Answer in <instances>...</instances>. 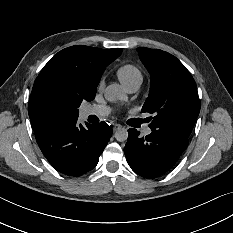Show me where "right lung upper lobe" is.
<instances>
[{
  "label": "right lung upper lobe",
  "instance_id": "obj_1",
  "mask_svg": "<svg viewBox=\"0 0 233 233\" xmlns=\"http://www.w3.org/2000/svg\"><path fill=\"white\" fill-rule=\"evenodd\" d=\"M122 49H100L89 46H72L54 55L37 76L28 113L33 130L50 121L46 116V104L50 92L57 88H76L96 91L106 68L121 54Z\"/></svg>",
  "mask_w": 233,
  "mask_h": 233
}]
</instances>
